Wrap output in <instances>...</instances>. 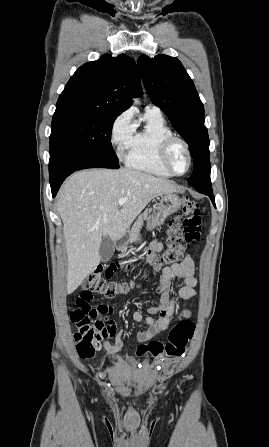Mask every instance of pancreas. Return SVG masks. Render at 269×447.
<instances>
[{"instance_id": "pancreas-1", "label": "pancreas", "mask_w": 269, "mask_h": 447, "mask_svg": "<svg viewBox=\"0 0 269 447\" xmlns=\"http://www.w3.org/2000/svg\"><path fill=\"white\" fill-rule=\"evenodd\" d=\"M152 210H158V208H148V210H145V212H143V214L139 216L137 222H135V224L132 225L131 229H129L130 239H132V241H136L140 233V229H142L143 227L144 220H148V218H150L149 214L150 212H152ZM131 261H134V259H131Z\"/></svg>"}]
</instances>
